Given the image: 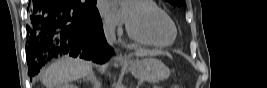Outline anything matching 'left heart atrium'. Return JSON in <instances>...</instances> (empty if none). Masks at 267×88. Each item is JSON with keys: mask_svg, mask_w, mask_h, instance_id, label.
Wrapping results in <instances>:
<instances>
[{"mask_svg": "<svg viewBox=\"0 0 267 88\" xmlns=\"http://www.w3.org/2000/svg\"><path fill=\"white\" fill-rule=\"evenodd\" d=\"M102 14L112 21H125L127 22V12L119 9L112 1H104L101 4Z\"/></svg>", "mask_w": 267, "mask_h": 88, "instance_id": "left-heart-atrium-1", "label": "left heart atrium"}]
</instances>
